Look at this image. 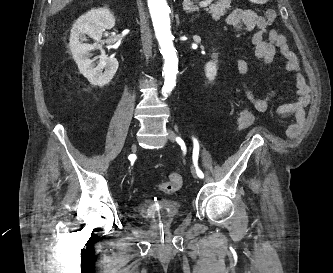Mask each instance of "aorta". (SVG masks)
<instances>
[{"label": "aorta", "mask_w": 333, "mask_h": 273, "mask_svg": "<svg viewBox=\"0 0 333 273\" xmlns=\"http://www.w3.org/2000/svg\"><path fill=\"white\" fill-rule=\"evenodd\" d=\"M155 35L160 46V52L165 60L163 66L164 94L170 93L176 84L178 73V58L173 45L170 30V9L166 0H147Z\"/></svg>", "instance_id": "762f6f07"}]
</instances>
